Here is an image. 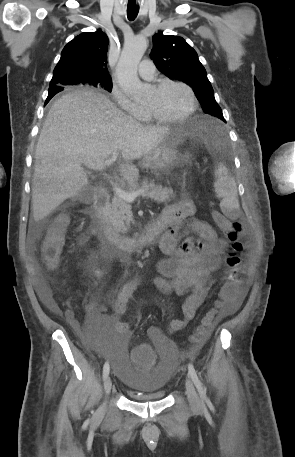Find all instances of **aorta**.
<instances>
[{
	"label": "aorta",
	"instance_id": "1",
	"mask_svg": "<svg viewBox=\"0 0 295 457\" xmlns=\"http://www.w3.org/2000/svg\"><path fill=\"white\" fill-rule=\"evenodd\" d=\"M146 49L147 40L143 36H136L127 40L117 64L116 72L119 86L126 94L135 99L146 94V87L137 75L138 65Z\"/></svg>",
	"mask_w": 295,
	"mask_h": 457
}]
</instances>
